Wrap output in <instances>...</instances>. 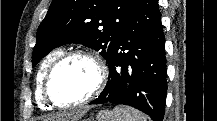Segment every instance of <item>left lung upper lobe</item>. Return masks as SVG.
Wrapping results in <instances>:
<instances>
[{"label": "left lung upper lobe", "mask_w": 217, "mask_h": 121, "mask_svg": "<svg viewBox=\"0 0 217 121\" xmlns=\"http://www.w3.org/2000/svg\"><path fill=\"white\" fill-rule=\"evenodd\" d=\"M138 0H53L37 30L33 67L52 49L80 43L108 62Z\"/></svg>", "instance_id": "left-lung-upper-lobe-1"}]
</instances>
